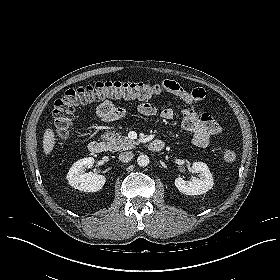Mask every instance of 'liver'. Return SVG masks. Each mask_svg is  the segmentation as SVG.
I'll list each match as a JSON object with an SVG mask.
<instances>
[{
    "label": "liver",
    "mask_w": 280,
    "mask_h": 280,
    "mask_svg": "<svg viewBox=\"0 0 280 280\" xmlns=\"http://www.w3.org/2000/svg\"><path fill=\"white\" fill-rule=\"evenodd\" d=\"M55 145V134L52 129L48 128L44 132L43 136V151L44 153L50 154Z\"/></svg>",
    "instance_id": "6515ba94"
}]
</instances>
